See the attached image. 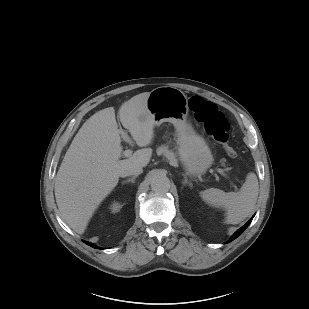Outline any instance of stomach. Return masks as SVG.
Listing matches in <instances>:
<instances>
[{"label":"stomach","instance_id":"0dacf381","mask_svg":"<svg viewBox=\"0 0 309 309\" xmlns=\"http://www.w3.org/2000/svg\"><path fill=\"white\" fill-rule=\"evenodd\" d=\"M147 109L153 117L154 125L170 122L175 126L178 154L187 173H205L213 157L205 140L193 131L187 121V96L175 87H157L149 94Z\"/></svg>","mask_w":309,"mask_h":309}]
</instances>
